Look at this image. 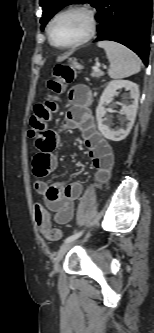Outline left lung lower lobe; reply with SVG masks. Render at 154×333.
I'll use <instances>...</instances> for the list:
<instances>
[{"label": "left lung lower lobe", "mask_w": 154, "mask_h": 333, "mask_svg": "<svg viewBox=\"0 0 154 333\" xmlns=\"http://www.w3.org/2000/svg\"><path fill=\"white\" fill-rule=\"evenodd\" d=\"M96 9L99 26L95 41L121 43L138 54L147 65L152 0H102Z\"/></svg>", "instance_id": "left-lung-lower-lobe-1"}]
</instances>
